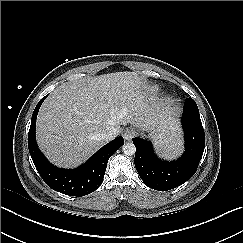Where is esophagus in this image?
Masks as SVG:
<instances>
[{
  "label": "esophagus",
  "instance_id": "esophagus-1",
  "mask_svg": "<svg viewBox=\"0 0 243 243\" xmlns=\"http://www.w3.org/2000/svg\"><path fill=\"white\" fill-rule=\"evenodd\" d=\"M136 135V132L129 128V129H126L124 132H123V138L125 141H131L132 138Z\"/></svg>",
  "mask_w": 243,
  "mask_h": 243
}]
</instances>
